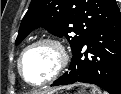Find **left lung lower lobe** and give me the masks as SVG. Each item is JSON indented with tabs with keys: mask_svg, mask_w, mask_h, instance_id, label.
<instances>
[{
	"mask_svg": "<svg viewBox=\"0 0 121 94\" xmlns=\"http://www.w3.org/2000/svg\"><path fill=\"white\" fill-rule=\"evenodd\" d=\"M69 70L52 86L84 82L121 94V14L100 26L73 53Z\"/></svg>",
	"mask_w": 121,
	"mask_h": 94,
	"instance_id": "obj_1",
	"label": "left lung lower lobe"
}]
</instances>
